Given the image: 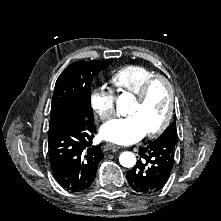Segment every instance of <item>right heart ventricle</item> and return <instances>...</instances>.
Listing matches in <instances>:
<instances>
[{"label": "right heart ventricle", "instance_id": "right-heart-ventricle-1", "mask_svg": "<svg viewBox=\"0 0 221 221\" xmlns=\"http://www.w3.org/2000/svg\"><path fill=\"white\" fill-rule=\"evenodd\" d=\"M159 75L158 72L142 65H127L109 77V83L119 94L136 95L144 83L151 77Z\"/></svg>", "mask_w": 221, "mask_h": 221}]
</instances>
